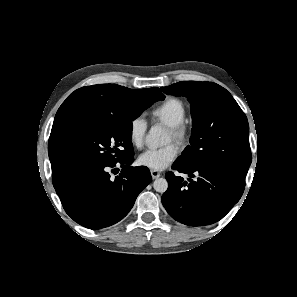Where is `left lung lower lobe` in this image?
Returning a JSON list of instances; mask_svg holds the SVG:
<instances>
[{"label": "left lung lower lobe", "mask_w": 297, "mask_h": 297, "mask_svg": "<svg viewBox=\"0 0 297 297\" xmlns=\"http://www.w3.org/2000/svg\"><path fill=\"white\" fill-rule=\"evenodd\" d=\"M172 169L190 178L184 181L173 172L166 173L168 189L162 195V204L172 218L188 226L219 221L239 201L244 191V180L223 171L185 168L176 163Z\"/></svg>", "instance_id": "1"}]
</instances>
